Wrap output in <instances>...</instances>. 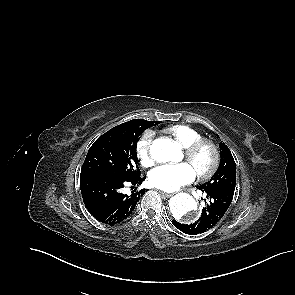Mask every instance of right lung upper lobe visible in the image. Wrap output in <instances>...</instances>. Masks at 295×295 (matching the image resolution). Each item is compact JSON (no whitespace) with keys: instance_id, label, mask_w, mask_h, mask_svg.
Returning <instances> with one entry per match:
<instances>
[{"instance_id":"cb5924a9","label":"right lung upper lobe","mask_w":295,"mask_h":295,"mask_svg":"<svg viewBox=\"0 0 295 295\" xmlns=\"http://www.w3.org/2000/svg\"><path fill=\"white\" fill-rule=\"evenodd\" d=\"M134 120H136V119L130 120V121L126 122V123H122V124H120V125H118V126L128 125V124L134 122Z\"/></svg>"}]
</instances>
